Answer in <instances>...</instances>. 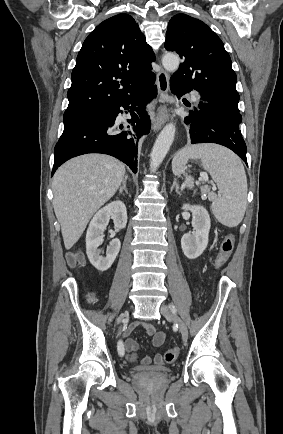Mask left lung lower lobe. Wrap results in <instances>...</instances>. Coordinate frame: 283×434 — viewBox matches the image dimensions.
<instances>
[{
    "label": "left lung lower lobe",
    "mask_w": 283,
    "mask_h": 434,
    "mask_svg": "<svg viewBox=\"0 0 283 434\" xmlns=\"http://www.w3.org/2000/svg\"><path fill=\"white\" fill-rule=\"evenodd\" d=\"M170 89L180 98L191 90L170 79ZM241 114L227 107L199 101V104L189 111L184 123L190 132L191 144L216 143L235 152L246 164V144L239 129Z\"/></svg>",
    "instance_id": "obj_1"
}]
</instances>
